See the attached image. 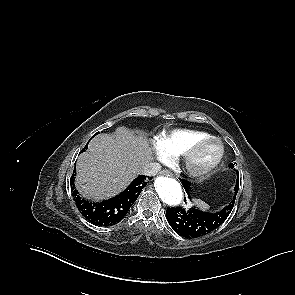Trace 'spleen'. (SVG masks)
Segmentation results:
<instances>
[{
	"label": "spleen",
	"mask_w": 295,
	"mask_h": 295,
	"mask_svg": "<svg viewBox=\"0 0 295 295\" xmlns=\"http://www.w3.org/2000/svg\"><path fill=\"white\" fill-rule=\"evenodd\" d=\"M196 204L198 205V206H200L202 209H204V210H207V209H209V205L208 204H206L204 201H202V200H196Z\"/></svg>",
	"instance_id": "3e777b00"
}]
</instances>
